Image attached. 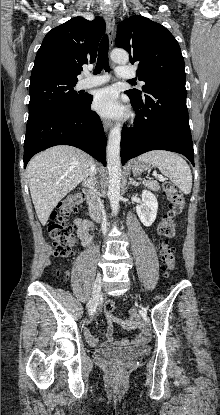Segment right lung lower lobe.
I'll return each mask as SVG.
<instances>
[{
  "label": "right lung lower lobe",
  "instance_id": "obj_1",
  "mask_svg": "<svg viewBox=\"0 0 220 415\" xmlns=\"http://www.w3.org/2000/svg\"><path fill=\"white\" fill-rule=\"evenodd\" d=\"M93 97L86 95L75 106H54L30 116L24 141V167L36 153L55 145L80 148L104 166L106 136L102 122L90 106Z\"/></svg>",
  "mask_w": 220,
  "mask_h": 415
}]
</instances>
